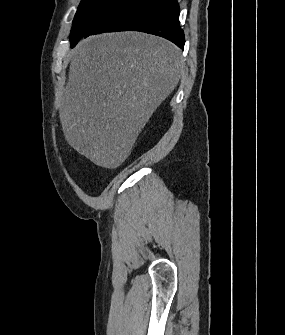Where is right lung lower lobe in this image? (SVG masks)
Returning <instances> with one entry per match:
<instances>
[{
	"label": "right lung lower lobe",
	"mask_w": 285,
	"mask_h": 335,
	"mask_svg": "<svg viewBox=\"0 0 285 335\" xmlns=\"http://www.w3.org/2000/svg\"><path fill=\"white\" fill-rule=\"evenodd\" d=\"M140 31L161 36L184 48L177 0H119L83 37L101 32ZM76 45L72 44V47Z\"/></svg>",
	"instance_id": "obj_1"
}]
</instances>
